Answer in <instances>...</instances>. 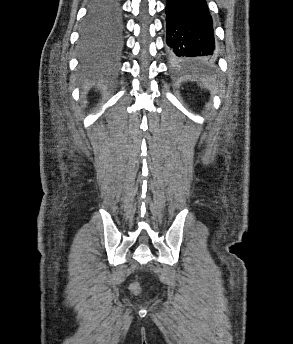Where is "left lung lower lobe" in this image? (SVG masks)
Listing matches in <instances>:
<instances>
[{
	"instance_id": "left-lung-lower-lobe-1",
	"label": "left lung lower lobe",
	"mask_w": 293,
	"mask_h": 344,
	"mask_svg": "<svg viewBox=\"0 0 293 344\" xmlns=\"http://www.w3.org/2000/svg\"><path fill=\"white\" fill-rule=\"evenodd\" d=\"M169 56L183 64L215 57L213 23L205 0H167Z\"/></svg>"
}]
</instances>
